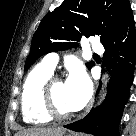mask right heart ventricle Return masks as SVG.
Segmentation results:
<instances>
[{"label": "right heart ventricle", "mask_w": 136, "mask_h": 136, "mask_svg": "<svg viewBox=\"0 0 136 136\" xmlns=\"http://www.w3.org/2000/svg\"><path fill=\"white\" fill-rule=\"evenodd\" d=\"M53 70L44 63L35 66L24 80L21 93V110L23 119L29 124H45L51 117L45 112L42 104V90Z\"/></svg>", "instance_id": "e07e8e85"}]
</instances>
